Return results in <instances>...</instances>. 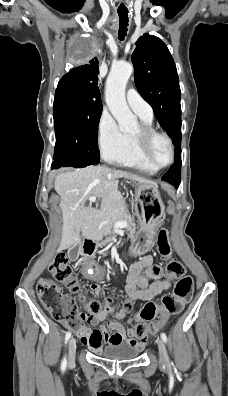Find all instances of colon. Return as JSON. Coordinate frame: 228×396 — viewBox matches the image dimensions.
<instances>
[{
    "label": "colon",
    "instance_id": "colon-1",
    "mask_svg": "<svg viewBox=\"0 0 228 396\" xmlns=\"http://www.w3.org/2000/svg\"><path fill=\"white\" fill-rule=\"evenodd\" d=\"M157 244L161 255L169 256L171 254L166 230L159 232ZM49 270L55 281L64 285L71 293L81 292V284L65 253L60 252L54 257L49 265ZM166 276L168 280H176L174 291L166 295L159 305L150 302L140 310L135 327L136 335L140 339L155 334L162 326V321L151 323L156 316L167 318L180 313L192 297L194 283L192 278L186 275L183 264L178 261H171L166 267ZM56 282L41 279L37 285L38 298L54 320L75 331L83 328L84 320H93L111 302L110 299L104 301L99 299L87 300L84 296H80L86 310V312H83L80 310L77 301L72 296L65 294ZM131 308L132 303L127 301L123 309L128 311Z\"/></svg>",
    "mask_w": 228,
    "mask_h": 396
}]
</instances>
